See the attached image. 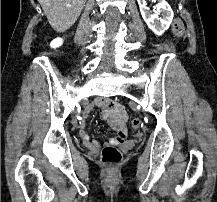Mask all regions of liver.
<instances>
[{"label":"liver","mask_w":217,"mask_h":202,"mask_svg":"<svg viewBox=\"0 0 217 202\" xmlns=\"http://www.w3.org/2000/svg\"><path fill=\"white\" fill-rule=\"evenodd\" d=\"M50 26L56 32H65L75 24L86 0H37Z\"/></svg>","instance_id":"1"}]
</instances>
